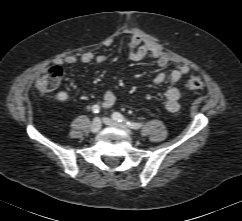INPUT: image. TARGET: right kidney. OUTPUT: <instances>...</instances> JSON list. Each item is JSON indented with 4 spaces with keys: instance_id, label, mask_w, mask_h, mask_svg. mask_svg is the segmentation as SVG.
<instances>
[{
    "instance_id": "1",
    "label": "right kidney",
    "mask_w": 242,
    "mask_h": 221,
    "mask_svg": "<svg viewBox=\"0 0 242 221\" xmlns=\"http://www.w3.org/2000/svg\"><path fill=\"white\" fill-rule=\"evenodd\" d=\"M57 99L60 100V101H65L68 99V94L64 91H61L59 92L57 95H56Z\"/></svg>"
}]
</instances>
